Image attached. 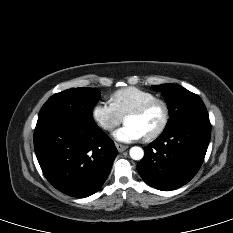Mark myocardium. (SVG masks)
I'll return each mask as SVG.
<instances>
[{"label": "myocardium", "instance_id": "myocardium-1", "mask_svg": "<svg viewBox=\"0 0 233 233\" xmlns=\"http://www.w3.org/2000/svg\"><path fill=\"white\" fill-rule=\"evenodd\" d=\"M159 104L163 108V119L159 127L152 132L151 134L144 136L145 141H152L158 138L167 128L169 119H170V109L168 103L161 98H153L151 100H148L144 102L143 104L137 106L136 108L130 110L125 116L124 119L130 116H139L145 113L148 109H150L152 106Z\"/></svg>", "mask_w": 233, "mask_h": 233}]
</instances>
